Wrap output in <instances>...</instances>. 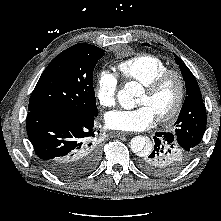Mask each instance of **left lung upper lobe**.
Listing matches in <instances>:
<instances>
[{
  "label": "left lung upper lobe",
  "mask_w": 221,
  "mask_h": 221,
  "mask_svg": "<svg viewBox=\"0 0 221 221\" xmlns=\"http://www.w3.org/2000/svg\"><path fill=\"white\" fill-rule=\"evenodd\" d=\"M174 56L186 84L187 96L179 117L174 124L175 129L173 133L190 150L194 151L198 149L206 129L207 116L205 104L203 103L196 78L185 63L177 55L174 54Z\"/></svg>",
  "instance_id": "obj_1"
}]
</instances>
